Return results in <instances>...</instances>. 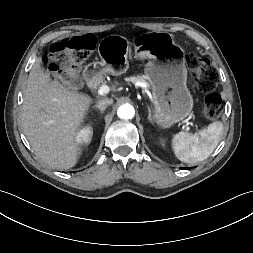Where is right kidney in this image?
Masks as SVG:
<instances>
[{
	"instance_id": "ca27d5eb",
	"label": "right kidney",
	"mask_w": 253,
	"mask_h": 253,
	"mask_svg": "<svg viewBox=\"0 0 253 253\" xmlns=\"http://www.w3.org/2000/svg\"><path fill=\"white\" fill-rule=\"evenodd\" d=\"M91 135H92L91 127L86 126L78 132L77 139L82 140L84 143H88Z\"/></svg>"
}]
</instances>
